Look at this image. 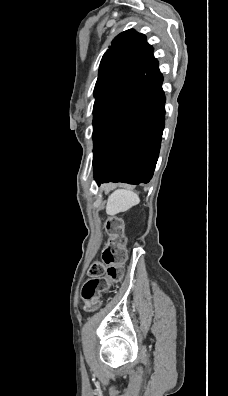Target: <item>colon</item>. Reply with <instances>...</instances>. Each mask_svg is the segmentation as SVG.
I'll return each instance as SVG.
<instances>
[{
	"mask_svg": "<svg viewBox=\"0 0 228 396\" xmlns=\"http://www.w3.org/2000/svg\"><path fill=\"white\" fill-rule=\"evenodd\" d=\"M105 226L109 239L102 252V261H96L90 266V278L83 285L81 292L85 308L89 311L96 310L100 306L101 295L108 289L110 283L120 280L127 259L123 246L121 220L117 217H109Z\"/></svg>",
	"mask_w": 228,
	"mask_h": 396,
	"instance_id": "colon-1",
	"label": "colon"
}]
</instances>
